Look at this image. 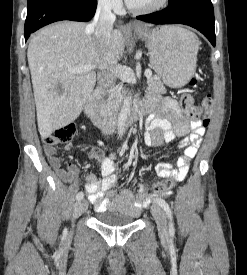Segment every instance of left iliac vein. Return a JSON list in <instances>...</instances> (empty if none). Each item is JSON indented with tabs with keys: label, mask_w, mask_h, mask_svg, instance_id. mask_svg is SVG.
I'll list each match as a JSON object with an SVG mask.
<instances>
[{
	"label": "left iliac vein",
	"mask_w": 247,
	"mask_h": 275,
	"mask_svg": "<svg viewBox=\"0 0 247 275\" xmlns=\"http://www.w3.org/2000/svg\"><path fill=\"white\" fill-rule=\"evenodd\" d=\"M151 214L156 221L160 237L162 239H167L168 238V224H167V218H166L165 212L158 204H154L151 207Z\"/></svg>",
	"instance_id": "left-iliac-vein-1"
}]
</instances>
